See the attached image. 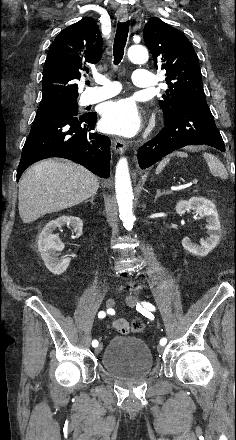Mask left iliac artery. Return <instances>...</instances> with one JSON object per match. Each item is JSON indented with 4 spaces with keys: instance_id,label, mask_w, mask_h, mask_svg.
Returning <instances> with one entry per match:
<instances>
[{
    "instance_id": "1",
    "label": "left iliac artery",
    "mask_w": 236,
    "mask_h": 440,
    "mask_svg": "<svg viewBox=\"0 0 236 440\" xmlns=\"http://www.w3.org/2000/svg\"><path fill=\"white\" fill-rule=\"evenodd\" d=\"M136 309H137V311H139L141 314H143V315H145V316H149V314H148V310H150V311H155V306L153 305V304H151V303H149V302H142L141 304L140 303H137V305H136ZM151 317H152V315H151ZM166 343H167V339L166 338H162L161 340H160V345H166Z\"/></svg>"
}]
</instances>
